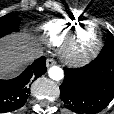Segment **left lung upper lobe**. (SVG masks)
<instances>
[{
    "instance_id": "obj_1",
    "label": "left lung upper lobe",
    "mask_w": 114,
    "mask_h": 114,
    "mask_svg": "<svg viewBox=\"0 0 114 114\" xmlns=\"http://www.w3.org/2000/svg\"><path fill=\"white\" fill-rule=\"evenodd\" d=\"M101 52L114 53V37L109 31H107L106 42Z\"/></svg>"
}]
</instances>
